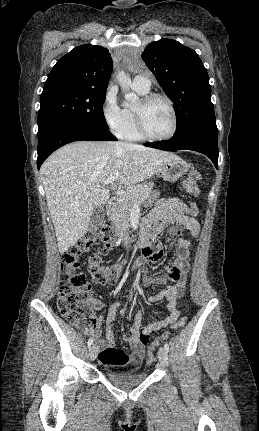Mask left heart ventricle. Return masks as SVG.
<instances>
[{
  "label": "left heart ventricle",
  "instance_id": "left-heart-ventricle-1",
  "mask_svg": "<svg viewBox=\"0 0 259 431\" xmlns=\"http://www.w3.org/2000/svg\"><path fill=\"white\" fill-rule=\"evenodd\" d=\"M140 106V102L135 108ZM145 124L153 136H164L172 128V115L167 103L161 99L152 101L144 110Z\"/></svg>",
  "mask_w": 259,
  "mask_h": 431
}]
</instances>
